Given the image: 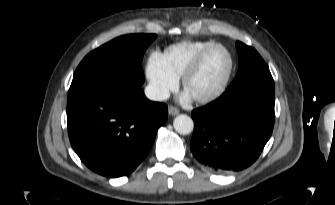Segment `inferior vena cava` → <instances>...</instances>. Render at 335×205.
<instances>
[{"label":"inferior vena cava","instance_id":"602c4592","mask_svg":"<svg viewBox=\"0 0 335 205\" xmlns=\"http://www.w3.org/2000/svg\"><path fill=\"white\" fill-rule=\"evenodd\" d=\"M145 95L150 100L162 101L166 100L169 97V92L167 90L159 89L152 85H148L145 88Z\"/></svg>","mask_w":335,"mask_h":205}]
</instances>
